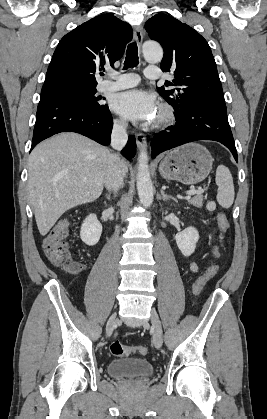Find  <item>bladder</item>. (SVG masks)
Returning a JSON list of instances; mask_svg holds the SVG:
<instances>
[{
	"instance_id": "obj_1",
	"label": "bladder",
	"mask_w": 267,
	"mask_h": 419,
	"mask_svg": "<svg viewBox=\"0 0 267 419\" xmlns=\"http://www.w3.org/2000/svg\"><path fill=\"white\" fill-rule=\"evenodd\" d=\"M106 370L114 378H144L154 373V367L151 362L142 358L114 359L107 364Z\"/></svg>"
}]
</instances>
